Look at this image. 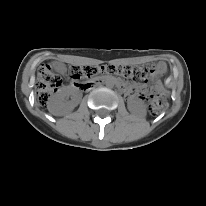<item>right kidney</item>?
I'll list each match as a JSON object with an SVG mask.
<instances>
[{"label":"right kidney","mask_w":206,"mask_h":206,"mask_svg":"<svg viewBox=\"0 0 206 206\" xmlns=\"http://www.w3.org/2000/svg\"><path fill=\"white\" fill-rule=\"evenodd\" d=\"M73 96L71 101H67L69 96ZM80 95L70 89H62L56 93L48 104V110L55 115H63L69 111H72L78 104Z\"/></svg>","instance_id":"right-kidney-1"}]
</instances>
